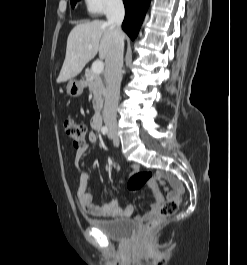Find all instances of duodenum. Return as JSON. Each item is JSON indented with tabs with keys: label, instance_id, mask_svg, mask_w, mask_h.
Returning <instances> with one entry per match:
<instances>
[{
	"label": "duodenum",
	"instance_id": "410a0bca",
	"mask_svg": "<svg viewBox=\"0 0 247 265\" xmlns=\"http://www.w3.org/2000/svg\"><path fill=\"white\" fill-rule=\"evenodd\" d=\"M102 120H103V116L101 114H97L94 116L92 125L95 130L97 131L100 130L101 125H102Z\"/></svg>",
	"mask_w": 247,
	"mask_h": 265
}]
</instances>
